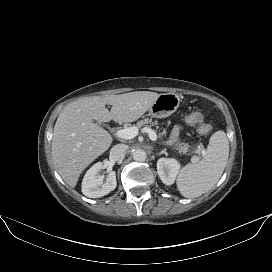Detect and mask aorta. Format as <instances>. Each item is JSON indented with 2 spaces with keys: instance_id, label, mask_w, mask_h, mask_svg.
<instances>
[{
  "instance_id": "aorta-1",
  "label": "aorta",
  "mask_w": 272,
  "mask_h": 272,
  "mask_svg": "<svg viewBox=\"0 0 272 272\" xmlns=\"http://www.w3.org/2000/svg\"><path fill=\"white\" fill-rule=\"evenodd\" d=\"M147 158V154L144 150L138 149L133 152V159L138 162H143Z\"/></svg>"
}]
</instances>
